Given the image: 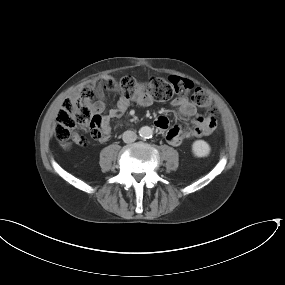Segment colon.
Returning a JSON list of instances; mask_svg holds the SVG:
<instances>
[{
    "label": "colon",
    "mask_w": 285,
    "mask_h": 285,
    "mask_svg": "<svg viewBox=\"0 0 285 285\" xmlns=\"http://www.w3.org/2000/svg\"><path fill=\"white\" fill-rule=\"evenodd\" d=\"M102 89L119 88L123 95L131 97L140 93L148 94L158 101H167L176 95H185L193 91L192 102L210 113L215 111L212 100L208 93L202 88H195L194 83L183 77L169 76L168 78H154L145 83L137 82L133 77L126 76L118 81L105 79L100 83ZM95 96V87L91 83L82 85L78 89V98L66 100L62 104L55 126V134L59 141L68 142L73 138V132L79 128L89 130L90 137L95 140L104 138V127L97 116H92L88 102ZM159 122L162 118L158 117ZM216 122L211 119L203 134L215 129Z\"/></svg>",
    "instance_id": "obj_1"
}]
</instances>
